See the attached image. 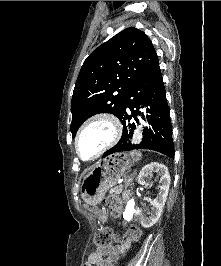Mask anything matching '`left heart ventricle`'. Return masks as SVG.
<instances>
[{"mask_svg":"<svg viewBox=\"0 0 221 266\" xmlns=\"http://www.w3.org/2000/svg\"><path fill=\"white\" fill-rule=\"evenodd\" d=\"M112 127L104 120L88 126L79 139V151L84 158L94 156L112 137Z\"/></svg>","mask_w":221,"mask_h":266,"instance_id":"1","label":"left heart ventricle"}]
</instances>
